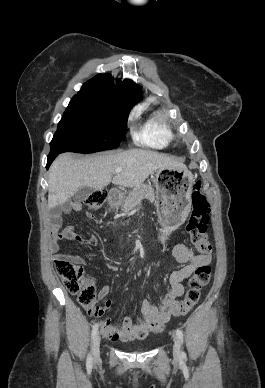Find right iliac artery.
<instances>
[{
  "label": "right iliac artery",
  "mask_w": 265,
  "mask_h": 388,
  "mask_svg": "<svg viewBox=\"0 0 265 388\" xmlns=\"http://www.w3.org/2000/svg\"><path fill=\"white\" fill-rule=\"evenodd\" d=\"M98 323H95L94 326H93V329H92V333H91V337L92 339H94L98 333ZM92 364H93V358H92V354L90 353L87 357V361H86V365L87 367H92Z\"/></svg>",
  "instance_id": "obj_1"
}]
</instances>
